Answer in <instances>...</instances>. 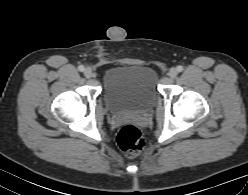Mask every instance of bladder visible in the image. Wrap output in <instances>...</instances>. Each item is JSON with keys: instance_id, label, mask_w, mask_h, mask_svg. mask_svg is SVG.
Instances as JSON below:
<instances>
[{"instance_id": "1", "label": "bladder", "mask_w": 248, "mask_h": 195, "mask_svg": "<svg viewBox=\"0 0 248 195\" xmlns=\"http://www.w3.org/2000/svg\"><path fill=\"white\" fill-rule=\"evenodd\" d=\"M157 82V73L149 66L118 65L104 73L102 93L111 113L141 114L155 101Z\"/></svg>"}]
</instances>
